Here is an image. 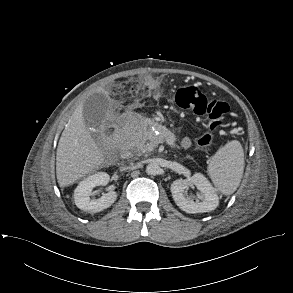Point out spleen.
Wrapping results in <instances>:
<instances>
[{"label": "spleen", "instance_id": "spleen-1", "mask_svg": "<svg viewBox=\"0 0 293 293\" xmlns=\"http://www.w3.org/2000/svg\"><path fill=\"white\" fill-rule=\"evenodd\" d=\"M244 170V152L239 141L221 147L208 165V174L217 189L229 195L238 187Z\"/></svg>", "mask_w": 293, "mask_h": 293}]
</instances>
